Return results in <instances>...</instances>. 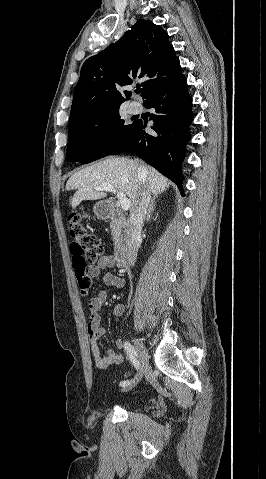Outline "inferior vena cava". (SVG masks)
Returning <instances> with one entry per match:
<instances>
[{"label": "inferior vena cava", "instance_id": "1", "mask_svg": "<svg viewBox=\"0 0 266 479\" xmlns=\"http://www.w3.org/2000/svg\"><path fill=\"white\" fill-rule=\"evenodd\" d=\"M138 171L141 174L143 172V167L140 166ZM150 200L151 192L149 184L142 181L138 191L137 200L130 210V216L125 225L124 231L125 251L129 266H133L136 262L138 246L141 242V231Z\"/></svg>", "mask_w": 266, "mask_h": 479}]
</instances>
